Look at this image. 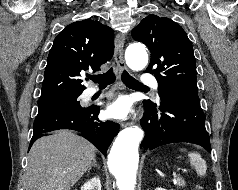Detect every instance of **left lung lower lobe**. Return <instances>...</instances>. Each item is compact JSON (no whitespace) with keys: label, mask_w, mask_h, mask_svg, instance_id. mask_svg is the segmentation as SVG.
Segmentation results:
<instances>
[{"label":"left lung lower lobe","mask_w":238,"mask_h":190,"mask_svg":"<svg viewBox=\"0 0 238 190\" xmlns=\"http://www.w3.org/2000/svg\"><path fill=\"white\" fill-rule=\"evenodd\" d=\"M143 105L145 112L141 125L146 133L140 145L143 151L169 143L189 142L211 152L198 96L165 94L160 103L144 100Z\"/></svg>","instance_id":"left-lung-lower-lobe-1"}]
</instances>
